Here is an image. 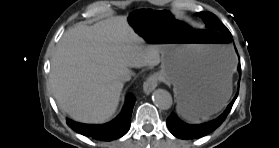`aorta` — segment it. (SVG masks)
I'll return each mask as SVG.
<instances>
[{
    "mask_svg": "<svg viewBox=\"0 0 279 148\" xmlns=\"http://www.w3.org/2000/svg\"><path fill=\"white\" fill-rule=\"evenodd\" d=\"M152 99L154 104L161 110H168L173 103L171 94L164 89L155 90Z\"/></svg>",
    "mask_w": 279,
    "mask_h": 148,
    "instance_id": "obj_1",
    "label": "aorta"
}]
</instances>
